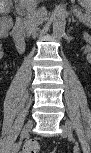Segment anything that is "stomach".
<instances>
[{
  "label": "stomach",
  "instance_id": "obj_1",
  "mask_svg": "<svg viewBox=\"0 0 91 153\" xmlns=\"http://www.w3.org/2000/svg\"><path fill=\"white\" fill-rule=\"evenodd\" d=\"M80 4L85 7L86 10H90L91 1L90 0H79Z\"/></svg>",
  "mask_w": 91,
  "mask_h": 153
}]
</instances>
